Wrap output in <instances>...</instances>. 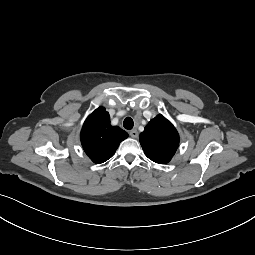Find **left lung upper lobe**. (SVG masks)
I'll return each mask as SVG.
<instances>
[{
  "instance_id": "left-lung-upper-lobe-1",
  "label": "left lung upper lobe",
  "mask_w": 255,
  "mask_h": 255,
  "mask_svg": "<svg viewBox=\"0 0 255 255\" xmlns=\"http://www.w3.org/2000/svg\"><path fill=\"white\" fill-rule=\"evenodd\" d=\"M140 144L150 160L166 164L177 150L179 135L171 122L158 114L140 134Z\"/></svg>"
}]
</instances>
